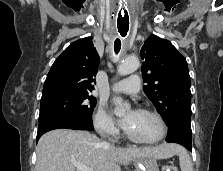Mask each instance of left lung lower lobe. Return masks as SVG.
<instances>
[{"label":"left lung lower lobe","instance_id":"0a47b994","mask_svg":"<svg viewBox=\"0 0 223 171\" xmlns=\"http://www.w3.org/2000/svg\"><path fill=\"white\" fill-rule=\"evenodd\" d=\"M191 133V128H188L183 124H173L169 127L166 142L178 143L189 151H192Z\"/></svg>","mask_w":223,"mask_h":171}]
</instances>
